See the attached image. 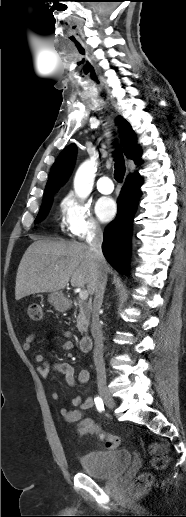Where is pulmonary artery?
<instances>
[{"mask_svg": "<svg viewBox=\"0 0 186 517\" xmlns=\"http://www.w3.org/2000/svg\"><path fill=\"white\" fill-rule=\"evenodd\" d=\"M97 189L102 194L113 192L114 186L109 176H102L97 182Z\"/></svg>", "mask_w": 186, "mask_h": 517, "instance_id": "obj_1", "label": "pulmonary artery"}]
</instances>
